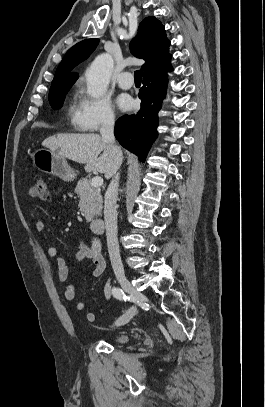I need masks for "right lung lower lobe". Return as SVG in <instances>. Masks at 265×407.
Returning a JSON list of instances; mask_svg holds the SVG:
<instances>
[{
    "instance_id": "obj_1",
    "label": "right lung lower lobe",
    "mask_w": 265,
    "mask_h": 407,
    "mask_svg": "<svg viewBox=\"0 0 265 407\" xmlns=\"http://www.w3.org/2000/svg\"><path fill=\"white\" fill-rule=\"evenodd\" d=\"M171 55L162 58L144 73L140 89L141 109L137 114L119 118L115 125V137L127 150L144 161L152 142L157 137L158 111L166 94L167 71L171 70Z\"/></svg>"
}]
</instances>
